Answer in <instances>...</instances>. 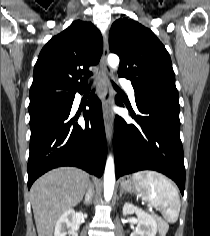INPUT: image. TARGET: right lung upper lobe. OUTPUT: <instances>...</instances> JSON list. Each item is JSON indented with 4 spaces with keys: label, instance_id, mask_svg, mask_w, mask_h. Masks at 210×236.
<instances>
[{
    "label": "right lung upper lobe",
    "instance_id": "obj_1",
    "mask_svg": "<svg viewBox=\"0 0 210 236\" xmlns=\"http://www.w3.org/2000/svg\"><path fill=\"white\" fill-rule=\"evenodd\" d=\"M102 48V36L92 23L74 21L41 50L34 67L30 98L42 89L71 93L84 88L86 78L80 77L91 75L89 66L99 62Z\"/></svg>",
    "mask_w": 210,
    "mask_h": 236
}]
</instances>
